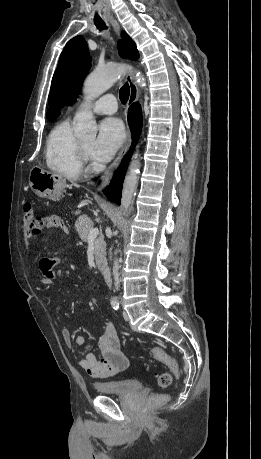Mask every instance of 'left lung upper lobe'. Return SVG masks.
Returning <instances> with one entry per match:
<instances>
[{"mask_svg":"<svg viewBox=\"0 0 261 459\" xmlns=\"http://www.w3.org/2000/svg\"><path fill=\"white\" fill-rule=\"evenodd\" d=\"M118 42L119 54L123 58L136 60L139 57L135 43L122 32ZM91 67V59L86 41L76 36L65 46L59 58L49 93L47 119L52 120L59 114L58 109L64 105H73L81 84Z\"/></svg>","mask_w":261,"mask_h":459,"instance_id":"obj_1","label":"left lung upper lobe"}]
</instances>
